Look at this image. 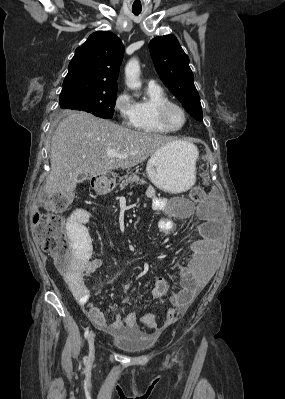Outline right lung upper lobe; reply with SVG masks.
Returning <instances> with one entry per match:
<instances>
[{
	"instance_id": "obj_1",
	"label": "right lung upper lobe",
	"mask_w": 285,
	"mask_h": 399,
	"mask_svg": "<svg viewBox=\"0 0 285 399\" xmlns=\"http://www.w3.org/2000/svg\"><path fill=\"white\" fill-rule=\"evenodd\" d=\"M121 40L109 31L91 34L75 51L61 94L80 91H117L124 53Z\"/></svg>"
}]
</instances>
